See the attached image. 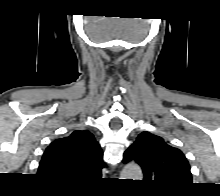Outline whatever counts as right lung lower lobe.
<instances>
[{
	"label": "right lung lower lobe",
	"mask_w": 220,
	"mask_h": 196,
	"mask_svg": "<svg viewBox=\"0 0 220 196\" xmlns=\"http://www.w3.org/2000/svg\"><path fill=\"white\" fill-rule=\"evenodd\" d=\"M54 185H56V186H64V187H66L65 185H58V184H54Z\"/></svg>",
	"instance_id": "obj_1"
}]
</instances>
